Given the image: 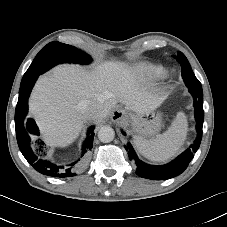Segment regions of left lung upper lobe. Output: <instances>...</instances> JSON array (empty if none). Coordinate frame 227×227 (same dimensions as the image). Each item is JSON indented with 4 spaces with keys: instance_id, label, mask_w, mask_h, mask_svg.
Segmentation results:
<instances>
[{
    "instance_id": "obj_1",
    "label": "left lung upper lobe",
    "mask_w": 227,
    "mask_h": 227,
    "mask_svg": "<svg viewBox=\"0 0 227 227\" xmlns=\"http://www.w3.org/2000/svg\"><path fill=\"white\" fill-rule=\"evenodd\" d=\"M181 65L182 78L189 92H202L201 83L195 77L189 61L182 52H178V56H173Z\"/></svg>"
}]
</instances>
